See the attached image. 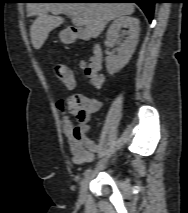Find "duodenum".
I'll list each match as a JSON object with an SVG mask.
<instances>
[{
	"label": "duodenum",
	"instance_id": "410a0bca",
	"mask_svg": "<svg viewBox=\"0 0 188 213\" xmlns=\"http://www.w3.org/2000/svg\"><path fill=\"white\" fill-rule=\"evenodd\" d=\"M88 38L89 35L84 30L77 28L70 29V37H69L70 42L86 40ZM91 63L96 67H99L102 63V50L98 44H95L93 47V55Z\"/></svg>",
	"mask_w": 188,
	"mask_h": 213
}]
</instances>
